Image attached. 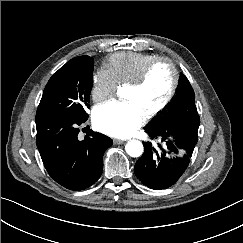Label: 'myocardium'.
Here are the masks:
<instances>
[{
  "label": "myocardium",
  "instance_id": "myocardium-1",
  "mask_svg": "<svg viewBox=\"0 0 243 243\" xmlns=\"http://www.w3.org/2000/svg\"><path fill=\"white\" fill-rule=\"evenodd\" d=\"M162 62L168 63L172 69L173 72L172 85L164 101L158 107H156L155 109H153L152 111L144 115L146 119H152L155 116L159 115L170 105V103L174 99L179 86V79H180L179 71L176 64L172 59L168 57L159 56L151 60L150 62H148L140 71V73L137 75V77L125 85L128 88H134V89L140 88L145 83L152 68Z\"/></svg>",
  "mask_w": 243,
  "mask_h": 243
}]
</instances>
